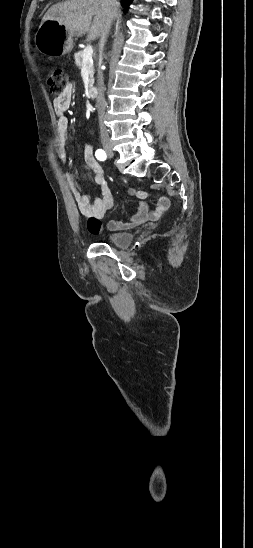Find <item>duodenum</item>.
Returning <instances> with one entry per match:
<instances>
[{"label": "duodenum", "instance_id": "obj_1", "mask_svg": "<svg viewBox=\"0 0 253 548\" xmlns=\"http://www.w3.org/2000/svg\"><path fill=\"white\" fill-rule=\"evenodd\" d=\"M88 95L90 98L94 99L98 96V88L96 86H91L88 90Z\"/></svg>", "mask_w": 253, "mask_h": 548}]
</instances>
